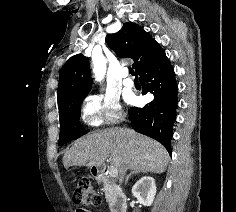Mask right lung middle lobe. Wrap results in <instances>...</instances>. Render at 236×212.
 <instances>
[{
    "mask_svg": "<svg viewBox=\"0 0 236 212\" xmlns=\"http://www.w3.org/2000/svg\"><path fill=\"white\" fill-rule=\"evenodd\" d=\"M85 97L86 95L75 99L67 107L60 110L59 145H63L86 134V130L83 129L79 121L81 104Z\"/></svg>",
    "mask_w": 236,
    "mask_h": 212,
    "instance_id": "1",
    "label": "right lung middle lobe"
}]
</instances>
